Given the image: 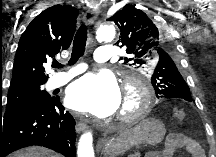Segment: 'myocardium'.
Returning <instances> with one entry per match:
<instances>
[{
	"label": "myocardium",
	"instance_id": "1",
	"mask_svg": "<svg viewBox=\"0 0 216 157\" xmlns=\"http://www.w3.org/2000/svg\"><path fill=\"white\" fill-rule=\"evenodd\" d=\"M124 96H131L135 101V106L129 111L120 112L117 118L124 124L132 125L149 111L152 105V91L144 80L131 78L125 82Z\"/></svg>",
	"mask_w": 216,
	"mask_h": 157
}]
</instances>
